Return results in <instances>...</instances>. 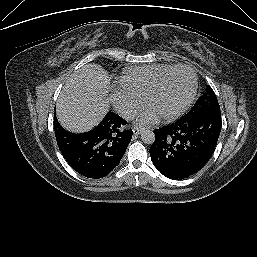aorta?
<instances>
[{
	"instance_id": "aorta-1",
	"label": "aorta",
	"mask_w": 257,
	"mask_h": 257,
	"mask_svg": "<svg viewBox=\"0 0 257 257\" xmlns=\"http://www.w3.org/2000/svg\"><path fill=\"white\" fill-rule=\"evenodd\" d=\"M141 139L146 144H152L155 140V134L151 130H143L141 133Z\"/></svg>"
}]
</instances>
